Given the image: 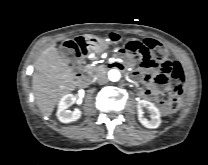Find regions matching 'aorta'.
Masks as SVG:
<instances>
[{
	"mask_svg": "<svg viewBox=\"0 0 208 165\" xmlns=\"http://www.w3.org/2000/svg\"><path fill=\"white\" fill-rule=\"evenodd\" d=\"M120 77H121V74L117 69H111L108 72V78L110 81L116 82L120 79Z\"/></svg>",
	"mask_w": 208,
	"mask_h": 165,
	"instance_id": "aorta-1",
	"label": "aorta"
}]
</instances>
